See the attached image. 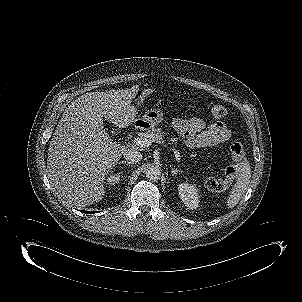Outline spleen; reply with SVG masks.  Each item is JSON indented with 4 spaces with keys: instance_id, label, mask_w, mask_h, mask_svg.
I'll return each instance as SVG.
<instances>
[{
    "instance_id": "spleen-1",
    "label": "spleen",
    "mask_w": 302,
    "mask_h": 302,
    "mask_svg": "<svg viewBox=\"0 0 302 302\" xmlns=\"http://www.w3.org/2000/svg\"><path fill=\"white\" fill-rule=\"evenodd\" d=\"M250 178H251L250 165L247 161H244L243 163H241L239 167L237 183L233 186L227 198L228 207H233L239 202V200L241 199L242 195L244 194V192L248 187Z\"/></svg>"
}]
</instances>
